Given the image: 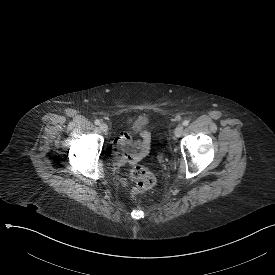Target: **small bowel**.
<instances>
[{
  "label": "small bowel",
  "instance_id": "1",
  "mask_svg": "<svg viewBox=\"0 0 275 275\" xmlns=\"http://www.w3.org/2000/svg\"><path fill=\"white\" fill-rule=\"evenodd\" d=\"M153 139V134L150 131H145L142 134L140 142L134 141L131 137L121 134L114 141V151L116 154H121L117 158V165L122 166L126 163H136L145 157L150 149V141ZM144 140V141H143ZM147 149L146 152H143Z\"/></svg>",
  "mask_w": 275,
  "mask_h": 275
}]
</instances>
